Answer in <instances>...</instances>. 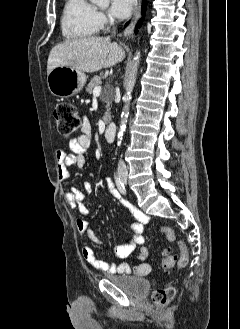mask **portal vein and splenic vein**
Returning a JSON list of instances; mask_svg holds the SVG:
<instances>
[{"mask_svg": "<svg viewBox=\"0 0 240 329\" xmlns=\"http://www.w3.org/2000/svg\"><path fill=\"white\" fill-rule=\"evenodd\" d=\"M101 86H97V87H95L94 89H93V95L94 96H99L100 95V93H101Z\"/></svg>", "mask_w": 240, "mask_h": 329, "instance_id": "obj_1", "label": "portal vein and splenic vein"}]
</instances>
